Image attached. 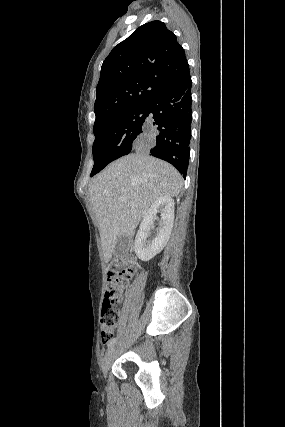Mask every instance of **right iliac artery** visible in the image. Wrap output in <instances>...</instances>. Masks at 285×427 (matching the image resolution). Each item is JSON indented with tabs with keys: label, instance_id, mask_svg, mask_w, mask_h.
<instances>
[{
	"label": "right iliac artery",
	"instance_id": "obj_1",
	"mask_svg": "<svg viewBox=\"0 0 285 427\" xmlns=\"http://www.w3.org/2000/svg\"><path fill=\"white\" fill-rule=\"evenodd\" d=\"M116 342V338H112L109 340L108 347H111Z\"/></svg>",
	"mask_w": 285,
	"mask_h": 427
}]
</instances>
